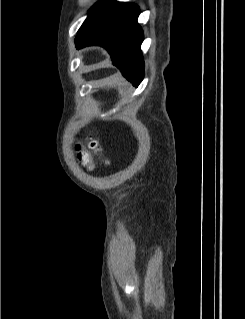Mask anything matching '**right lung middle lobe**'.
I'll use <instances>...</instances> for the list:
<instances>
[{
	"mask_svg": "<svg viewBox=\"0 0 245 319\" xmlns=\"http://www.w3.org/2000/svg\"><path fill=\"white\" fill-rule=\"evenodd\" d=\"M124 2H116L114 0H100L90 10V15L83 23L82 28H90L102 20L108 18L117 10L125 6Z\"/></svg>",
	"mask_w": 245,
	"mask_h": 319,
	"instance_id": "1",
	"label": "right lung middle lobe"
}]
</instances>
